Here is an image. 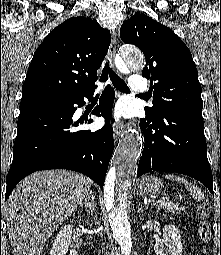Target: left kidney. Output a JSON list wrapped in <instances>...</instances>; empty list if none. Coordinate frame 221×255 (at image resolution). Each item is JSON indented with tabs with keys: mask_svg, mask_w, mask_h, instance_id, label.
I'll return each mask as SVG.
<instances>
[{
	"mask_svg": "<svg viewBox=\"0 0 221 255\" xmlns=\"http://www.w3.org/2000/svg\"><path fill=\"white\" fill-rule=\"evenodd\" d=\"M166 246V248H165ZM156 255H182L181 235L174 225L163 228V239L154 246Z\"/></svg>",
	"mask_w": 221,
	"mask_h": 255,
	"instance_id": "5707ae66",
	"label": "left kidney"
}]
</instances>
